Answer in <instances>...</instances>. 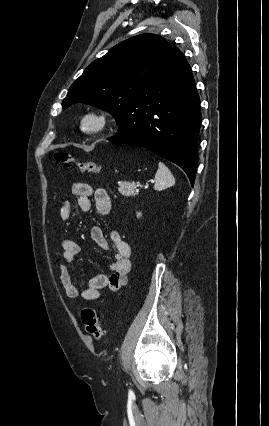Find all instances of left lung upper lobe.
Returning <instances> with one entry per match:
<instances>
[{
	"mask_svg": "<svg viewBox=\"0 0 269 426\" xmlns=\"http://www.w3.org/2000/svg\"><path fill=\"white\" fill-rule=\"evenodd\" d=\"M172 47L154 34H142L113 47L92 62L71 85L63 109L84 102L111 113L120 125L135 95L147 90Z\"/></svg>",
	"mask_w": 269,
	"mask_h": 426,
	"instance_id": "obj_1",
	"label": "left lung upper lobe"
}]
</instances>
